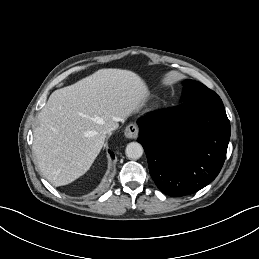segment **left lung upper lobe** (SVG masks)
I'll return each mask as SVG.
<instances>
[{
	"label": "left lung upper lobe",
	"instance_id": "1",
	"mask_svg": "<svg viewBox=\"0 0 259 259\" xmlns=\"http://www.w3.org/2000/svg\"><path fill=\"white\" fill-rule=\"evenodd\" d=\"M183 97L182 100H190L197 97H205L214 95L215 92L207 88L204 84L194 81L185 80L183 83Z\"/></svg>",
	"mask_w": 259,
	"mask_h": 259
}]
</instances>
